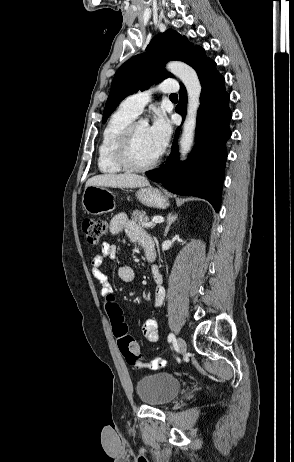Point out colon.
I'll use <instances>...</instances> for the list:
<instances>
[{
  "label": "colon",
  "mask_w": 294,
  "mask_h": 462,
  "mask_svg": "<svg viewBox=\"0 0 294 462\" xmlns=\"http://www.w3.org/2000/svg\"><path fill=\"white\" fill-rule=\"evenodd\" d=\"M82 230L86 236L88 244L96 246L107 234V223L100 219H85L82 222ZM105 310L111 322L113 334L117 339L119 349L125 357L127 363L134 369L143 367V359L139 353L138 346L131 335L128 333L127 325L124 322L122 310L110 296L104 303Z\"/></svg>",
  "instance_id": "1"
}]
</instances>
